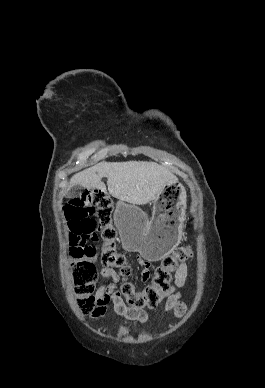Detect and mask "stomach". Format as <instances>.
<instances>
[{
	"instance_id": "stomach-1",
	"label": "stomach",
	"mask_w": 265,
	"mask_h": 388,
	"mask_svg": "<svg viewBox=\"0 0 265 388\" xmlns=\"http://www.w3.org/2000/svg\"><path fill=\"white\" fill-rule=\"evenodd\" d=\"M186 212V191L178 183H169L153 204V215L138 207L119 201L114 219L123 247L149 261H158L168 255L179 243Z\"/></svg>"
}]
</instances>
